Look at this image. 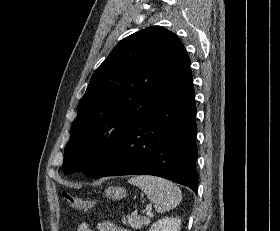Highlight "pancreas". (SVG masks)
I'll list each match as a JSON object with an SVG mask.
<instances>
[{
  "label": "pancreas",
  "instance_id": "1",
  "mask_svg": "<svg viewBox=\"0 0 280 231\" xmlns=\"http://www.w3.org/2000/svg\"><path fill=\"white\" fill-rule=\"evenodd\" d=\"M122 221L133 227V229H141L143 225H148L151 219L150 217H144V215H127V217L123 215Z\"/></svg>",
  "mask_w": 280,
  "mask_h": 231
}]
</instances>
